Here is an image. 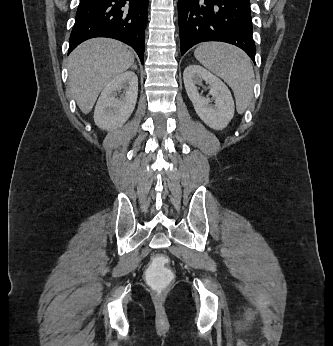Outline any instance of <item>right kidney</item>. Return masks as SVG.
<instances>
[{
    "label": "right kidney",
    "instance_id": "ca27d5eb",
    "mask_svg": "<svg viewBox=\"0 0 333 346\" xmlns=\"http://www.w3.org/2000/svg\"><path fill=\"white\" fill-rule=\"evenodd\" d=\"M123 92L119 97L117 93ZM138 96V78L132 71L116 76L103 89L94 111V122L103 130L121 127L131 116Z\"/></svg>",
    "mask_w": 333,
    "mask_h": 346
}]
</instances>
